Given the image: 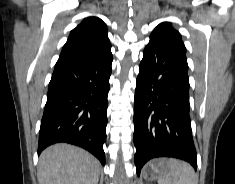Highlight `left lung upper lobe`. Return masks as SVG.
Here are the masks:
<instances>
[{"instance_id": "left-lung-upper-lobe-1", "label": "left lung upper lobe", "mask_w": 235, "mask_h": 184, "mask_svg": "<svg viewBox=\"0 0 235 184\" xmlns=\"http://www.w3.org/2000/svg\"><path fill=\"white\" fill-rule=\"evenodd\" d=\"M150 40H161L175 45L186 57V48L182 42L181 35L169 22L160 23L151 33Z\"/></svg>"}]
</instances>
